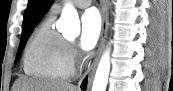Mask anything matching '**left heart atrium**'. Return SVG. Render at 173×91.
I'll return each instance as SVG.
<instances>
[{"instance_id": "1", "label": "left heart atrium", "mask_w": 173, "mask_h": 91, "mask_svg": "<svg viewBox=\"0 0 173 91\" xmlns=\"http://www.w3.org/2000/svg\"><path fill=\"white\" fill-rule=\"evenodd\" d=\"M101 19L95 9H88L81 17L80 48L83 51L92 50L99 39Z\"/></svg>"}]
</instances>
